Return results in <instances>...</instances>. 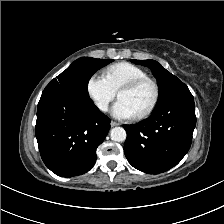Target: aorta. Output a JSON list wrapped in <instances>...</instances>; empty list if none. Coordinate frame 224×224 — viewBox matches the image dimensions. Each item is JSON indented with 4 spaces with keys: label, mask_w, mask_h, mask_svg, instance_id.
Wrapping results in <instances>:
<instances>
[{
    "label": "aorta",
    "mask_w": 224,
    "mask_h": 224,
    "mask_svg": "<svg viewBox=\"0 0 224 224\" xmlns=\"http://www.w3.org/2000/svg\"><path fill=\"white\" fill-rule=\"evenodd\" d=\"M110 137L115 142H123L126 140L127 134L124 128L114 127L110 132Z\"/></svg>",
    "instance_id": "obj_1"
}]
</instances>
